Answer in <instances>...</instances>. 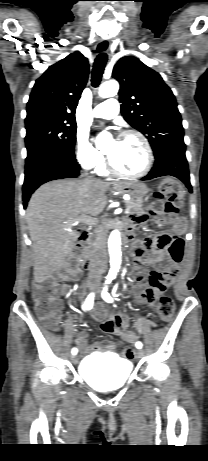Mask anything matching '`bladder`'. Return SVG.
<instances>
[{
  "label": "bladder",
  "mask_w": 208,
  "mask_h": 461,
  "mask_svg": "<svg viewBox=\"0 0 208 461\" xmlns=\"http://www.w3.org/2000/svg\"><path fill=\"white\" fill-rule=\"evenodd\" d=\"M132 365L126 360L110 354L86 357L79 366L81 378L99 391L116 390L124 386L131 374Z\"/></svg>",
  "instance_id": "obj_1"
}]
</instances>
